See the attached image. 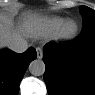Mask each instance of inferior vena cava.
Masks as SVG:
<instances>
[{"mask_svg":"<svg viewBox=\"0 0 95 95\" xmlns=\"http://www.w3.org/2000/svg\"><path fill=\"white\" fill-rule=\"evenodd\" d=\"M9 48L16 53H23L28 48V43L25 39L21 38L17 41H14L9 45Z\"/></svg>","mask_w":95,"mask_h":95,"instance_id":"obj_1","label":"inferior vena cava"}]
</instances>
